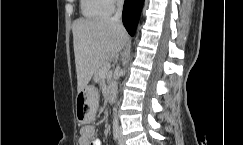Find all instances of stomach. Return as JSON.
Wrapping results in <instances>:
<instances>
[{"label":"stomach","mask_w":243,"mask_h":145,"mask_svg":"<svg viewBox=\"0 0 243 145\" xmlns=\"http://www.w3.org/2000/svg\"><path fill=\"white\" fill-rule=\"evenodd\" d=\"M100 94H90L89 89L80 91L76 97V119L80 123H89L94 119Z\"/></svg>","instance_id":"stomach-1"}]
</instances>
